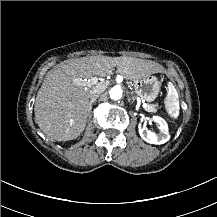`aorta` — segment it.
<instances>
[{
  "label": "aorta",
  "instance_id": "1",
  "mask_svg": "<svg viewBox=\"0 0 217 217\" xmlns=\"http://www.w3.org/2000/svg\"><path fill=\"white\" fill-rule=\"evenodd\" d=\"M123 92L120 86H115L110 89L109 96L112 100H119L122 98Z\"/></svg>",
  "mask_w": 217,
  "mask_h": 217
}]
</instances>
